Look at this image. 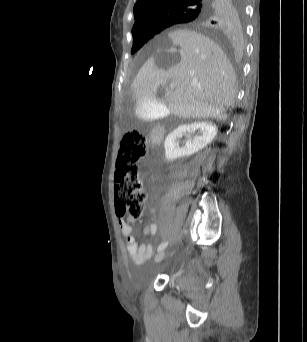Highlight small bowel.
<instances>
[{
  "label": "small bowel",
  "instance_id": "c3829d8e",
  "mask_svg": "<svg viewBox=\"0 0 307 342\" xmlns=\"http://www.w3.org/2000/svg\"><path fill=\"white\" fill-rule=\"evenodd\" d=\"M151 219L150 223L144 229V233L149 236H154L157 232V225L155 223V210L153 208L149 209ZM129 222H134V220L129 219ZM124 219H119V226L122 234L126 239V249L135 265H140L148 260L153 254V245L151 242H146L142 245H138L135 235L132 233V228Z\"/></svg>",
  "mask_w": 307,
  "mask_h": 342
}]
</instances>
